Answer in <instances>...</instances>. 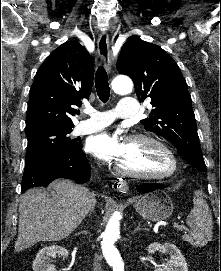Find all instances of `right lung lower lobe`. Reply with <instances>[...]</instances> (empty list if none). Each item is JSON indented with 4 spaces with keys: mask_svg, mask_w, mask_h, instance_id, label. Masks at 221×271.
I'll use <instances>...</instances> for the list:
<instances>
[{
    "mask_svg": "<svg viewBox=\"0 0 221 271\" xmlns=\"http://www.w3.org/2000/svg\"><path fill=\"white\" fill-rule=\"evenodd\" d=\"M56 178H69L85 183L90 178V165L82 145L67 153L47 154L25 162L21 191L48 186Z\"/></svg>",
    "mask_w": 221,
    "mask_h": 271,
    "instance_id": "right-lung-lower-lobe-1",
    "label": "right lung lower lobe"
}]
</instances>
